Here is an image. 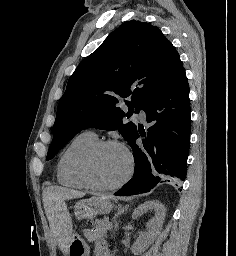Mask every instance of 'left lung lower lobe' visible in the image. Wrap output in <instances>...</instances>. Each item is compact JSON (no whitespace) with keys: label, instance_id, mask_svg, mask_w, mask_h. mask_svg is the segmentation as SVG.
Instances as JSON below:
<instances>
[{"label":"left lung lower lobe","instance_id":"left-lung-lower-lobe-1","mask_svg":"<svg viewBox=\"0 0 236 256\" xmlns=\"http://www.w3.org/2000/svg\"><path fill=\"white\" fill-rule=\"evenodd\" d=\"M148 132L136 129L129 144L135 171L132 179L114 195L129 196L149 192L165 182L184 180L190 144L189 87L184 68L156 92L142 108ZM143 137L142 145L136 139Z\"/></svg>","mask_w":236,"mask_h":256}]
</instances>
